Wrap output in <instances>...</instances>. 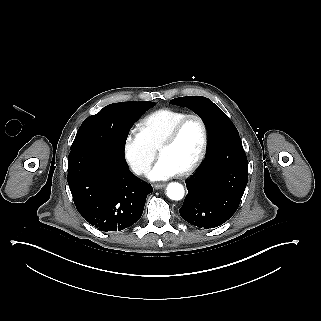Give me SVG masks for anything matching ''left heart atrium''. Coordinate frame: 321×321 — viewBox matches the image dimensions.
<instances>
[{
    "label": "left heart atrium",
    "instance_id": "obj_1",
    "mask_svg": "<svg viewBox=\"0 0 321 321\" xmlns=\"http://www.w3.org/2000/svg\"><path fill=\"white\" fill-rule=\"evenodd\" d=\"M180 173L181 170L170 157L162 156L151 168L149 176L155 180H165Z\"/></svg>",
    "mask_w": 321,
    "mask_h": 321
}]
</instances>
